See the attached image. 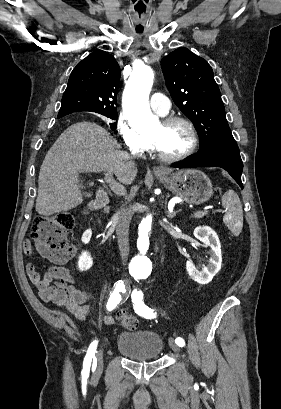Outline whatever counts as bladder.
Segmentation results:
<instances>
[{"label":"bladder","instance_id":"obj_1","mask_svg":"<svg viewBox=\"0 0 281 409\" xmlns=\"http://www.w3.org/2000/svg\"><path fill=\"white\" fill-rule=\"evenodd\" d=\"M114 347L130 361L150 362L161 358L164 352V338L151 329H121Z\"/></svg>","mask_w":281,"mask_h":409}]
</instances>
